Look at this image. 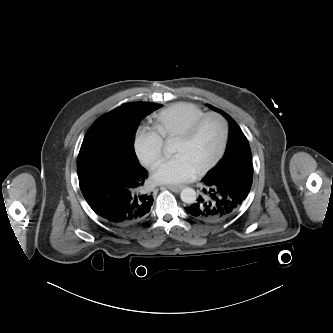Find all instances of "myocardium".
Instances as JSON below:
<instances>
[{
	"mask_svg": "<svg viewBox=\"0 0 333 333\" xmlns=\"http://www.w3.org/2000/svg\"><path fill=\"white\" fill-rule=\"evenodd\" d=\"M209 118H216L221 122L223 128L222 141L216 155L209 162H207L205 165H203L201 168L198 169L199 174L205 173L208 170H210L223 157L228 145L229 135H230V125L227 118L219 112L205 113L204 115L196 119L188 128H186L183 132H181L177 136L178 139L185 141L192 139L199 130V128L201 127V125Z\"/></svg>",
	"mask_w": 333,
	"mask_h": 333,
	"instance_id": "myocardium-1",
	"label": "myocardium"
}]
</instances>
